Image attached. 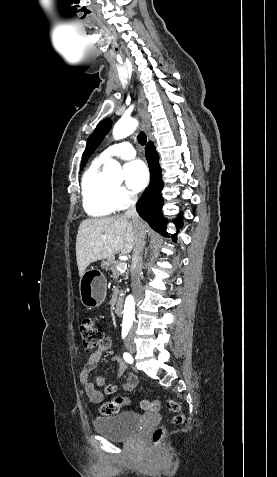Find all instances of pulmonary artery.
Returning a JSON list of instances; mask_svg holds the SVG:
<instances>
[{"label":"pulmonary artery","instance_id":"obj_1","mask_svg":"<svg viewBox=\"0 0 277 477\" xmlns=\"http://www.w3.org/2000/svg\"><path fill=\"white\" fill-rule=\"evenodd\" d=\"M136 155L135 149L128 142H121L114 144L105 149L97 159L102 162L108 161L113 157H120L123 159H131Z\"/></svg>","mask_w":277,"mask_h":477}]
</instances>
